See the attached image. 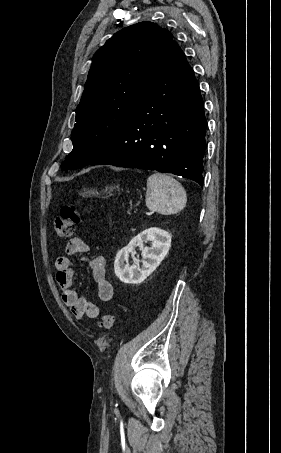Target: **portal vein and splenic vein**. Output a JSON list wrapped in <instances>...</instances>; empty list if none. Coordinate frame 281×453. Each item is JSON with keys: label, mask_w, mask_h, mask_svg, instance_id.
Wrapping results in <instances>:
<instances>
[{"label": "portal vein and splenic vein", "mask_w": 281, "mask_h": 453, "mask_svg": "<svg viewBox=\"0 0 281 453\" xmlns=\"http://www.w3.org/2000/svg\"><path fill=\"white\" fill-rule=\"evenodd\" d=\"M131 212H132V213H137L138 211H137V210H132ZM156 212H157L156 210H154V211H153V210H149V211L147 212V215H150V214L153 215V214H155Z\"/></svg>", "instance_id": "portal-vein-and-splenic-vein-1"}]
</instances>
